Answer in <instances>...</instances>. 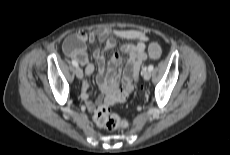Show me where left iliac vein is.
<instances>
[{
  "label": "left iliac vein",
  "instance_id": "1",
  "mask_svg": "<svg viewBox=\"0 0 230 155\" xmlns=\"http://www.w3.org/2000/svg\"><path fill=\"white\" fill-rule=\"evenodd\" d=\"M143 78H144L145 80H149V79L151 78V72H150L149 70H145V71L143 72Z\"/></svg>",
  "mask_w": 230,
  "mask_h": 155
}]
</instances>
